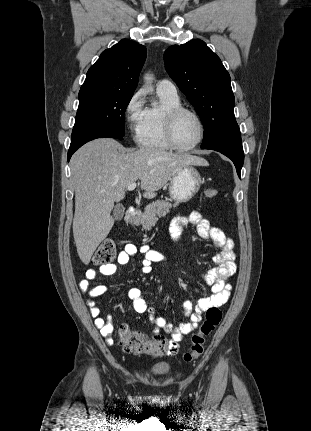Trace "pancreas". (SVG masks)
<instances>
[{
    "label": "pancreas",
    "mask_w": 311,
    "mask_h": 431,
    "mask_svg": "<svg viewBox=\"0 0 311 431\" xmlns=\"http://www.w3.org/2000/svg\"><path fill=\"white\" fill-rule=\"evenodd\" d=\"M179 204H170L167 200H156L153 204H148L144 208V212L141 217L142 225L144 229H151L153 225H156L159 216H166L169 214L171 208H176Z\"/></svg>",
    "instance_id": "pancreas-1"
}]
</instances>
